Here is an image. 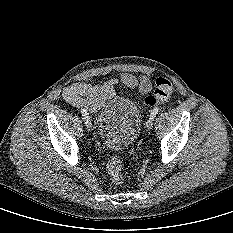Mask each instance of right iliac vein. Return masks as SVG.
I'll use <instances>...</instances> for the list:
<instances>
[{"mask_svg": "<svg viewBox=\"0 0 233 233\" xmlns=\"http://www.w3.org/2000/svg\"><path fill=\"white\" fill-rule=\"evenodd\" d=\"M85 126H86V128H87L88 131L92 130V124L89 121L85 122Z\"/></svg>", "mask_w": 233, "mask_h": 233, "instance_id": "right-iliac-vein-1", "label": "right iliac vein"}]
</instances>
